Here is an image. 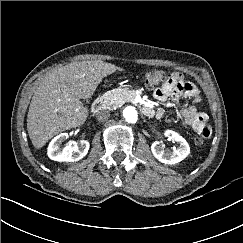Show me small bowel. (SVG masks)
<instances>
[{
    "mask_svg": "<svg viewBox=\"0 0 243 243\" xmlns=\"http://www.w3.org/2000/svg\"><path fill=\"white\" fill-rule=\"evenodd\" d=\"M153 97L161 102L171 100L178 101L181 98H191L194 102L200 101V93L194 84L187 81L184 75L180 72H172L167 77L166 81L159 87L153 90ZM157 118H162L165 115L163 108H158L155 113ZM183 123L199 135L208 138L211 133V127L208 125L207 115L199 111L195 106H187L181 110Z\"/></svg>",
    "mask_w": 243,
    "mask_h": 243,
    "instance_id": "c3829d8e",
    "label": "small bowel"
}]
</instances>
